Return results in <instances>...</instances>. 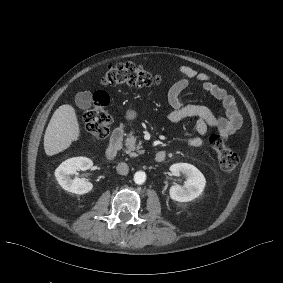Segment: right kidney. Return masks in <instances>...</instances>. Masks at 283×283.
<instances>
[{
	"label": "right kidney",
	"instance_id": "1",
	"mask_svg": "<svg viewBox=\"0 0 283 283\" xmlns=\"http://www.w3.org/2000/svg\"><path fill=\"white\" fill-rule=\"evenodd\" d=\"M92 166L93 162L89 158L73 157L60 164L55 170V177L64 190L75 194H85L92 190V183L78 177L72 179L70 175L76 174L79 170H88Z\"/></svg>",
	"mask_w": 283,
	"mask_h": 283
}]
</instances>
